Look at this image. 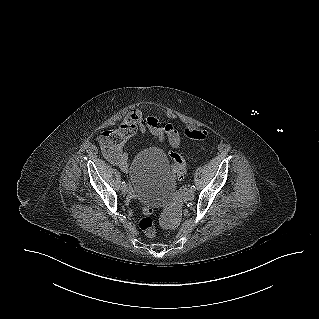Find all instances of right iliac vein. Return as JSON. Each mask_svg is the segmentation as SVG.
I'll list each match as a JSON object with an SVG mask.
<instances>
[{
    "label": "right iliac vein",
    "mask_w": 319,
    "mask_h": 319,
    "mask_svg": "<svg viewBox=\"0 0 319 319\" xmlns=\"http://www.w3.org/2000/svg\"><path fill=\"white\" fill-rule=\"evenodd\" d=\"M122 192L127 194L129 192V186L127 184L122 185Z\"/></svg>",
    "instance_id": "obj_1"
}]
</instances>
